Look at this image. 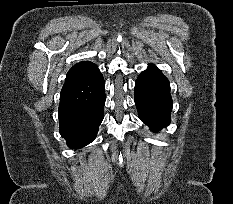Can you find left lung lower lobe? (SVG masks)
<instances>
[{"label":"left lung lower lobe","instance_id":"0a47b994","mask_svg":"<svg viewBox=\"0 0 233 204\" xmlns=\"http://www.w3.org/2000/svg\"><path fill=\"white\" fill-rule=\"evenodd\" d=\"M134 99L140 119L151 130L157 131L170 123V85L157 67L149 65L139 75L135 83Z\"/></svg>","mask_w":233,"mask_h":204}]
</instances>
